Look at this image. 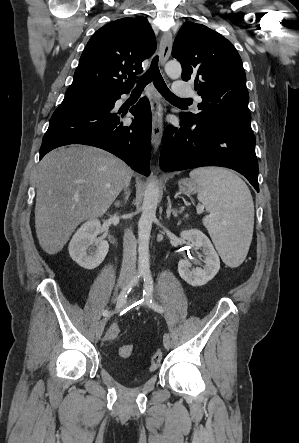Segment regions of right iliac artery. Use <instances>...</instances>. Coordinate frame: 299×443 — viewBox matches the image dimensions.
Segmentation results:
<instances>
[{"mask_svg": "<svg viewBox=\"0 0 299 443\" xmlns=\"http://www.w3.org/2000/svg\"><path fill=\"white\" fill-rule=\"evenodd\" d=\"M141 273H138L136 276H134V278L129 282V284L127 286H125L122 291L120 292L118 298H117V303H116V310H120L126 303L127 301V296L129 294V292L131 291V289L137 284V282L139 281L140 277H141ZM103 316L104 317H110L111 316V312L108 310H104L103 311Z\"/></svg>", "mask_w": 299, "mask_h": 443, "instance_id": "82829eb1", "label": "right iliac artery"}]
</instances>
